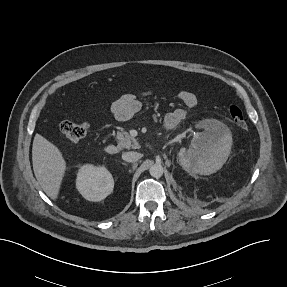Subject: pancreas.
<instances>
[{
	"mask_svg": "<svg viewBox=\"0 0 287 287\" xmlns=\"http://www.w3.org/2000/svg\"><path fill=\"white\" fill-rule=\"evenodd\" d=\"M117 142L119 149H138L140 148L139 143L133 138L127 131L121 130L117 133Z\"/></svg>",
	"mask_w": 287,
	"mask_h": 287,
	"instance_id": "pancreas-1",
	"label": "pancreas"
}]
</instances>
